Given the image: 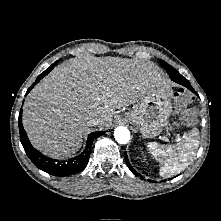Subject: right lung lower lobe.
Here are the masks:
<instances>
[{
	"mask_svg": "<svg viewBox=\"0 0 221 221\" xmlns=\"http://www.w3.org/2000/svg\"><path fill=\"white\" fill-rule=\"evenodd\" d=\"M52 69L53 67L50 66L47 70L41 73L36 79V81L31 85V87H29L26 94H28L31 91V89ZM18 125H19V132H20V141L29 159L39 169L55 176H66L70 174H76L82 171L86 167L89 161L91 145H92L93 140L97 138L98 136L105 133V131L90 133L87 139L86 148L80 155L68 161H58V160L49 158L47 156H44L31 145L22 125V110H20V113H19Z\"/></svg>",
	"mask_w": 221,
	"mask_h": 221,
	"instance_id": "obj_1",
	"label": "right lung lower lobe"
}]
</instances>
